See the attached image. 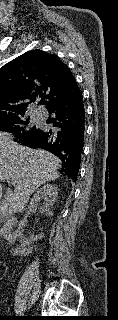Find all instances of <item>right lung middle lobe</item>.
<instances>
[{
    "mask_svg": "<svg viewBox=\"0 0 118 320\" xmlns=\"http://www.w3.org/2000/svg\"><path fill=\"white\" fill-rule=\"evenodd\" d=\"M0 131L15 134L16 139L34 135L39 131L25 117H4L0 119Z\"/></svg>",
    "mask_w": 118,
    "mask_h": 320,
    "instance_id": "1",
    "label": "right lung middle lobe"
}]
</instances>
